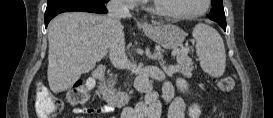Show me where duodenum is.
Masks as SVG:
<instances>
[{"label":"duodenum","mask_w":273,"mask_h":118,"mask_svg":"<svg viewBox=\"0 0 273 118\" xmlns=\"http://www.w3.org/2000/svg\"><path fill=\"white\" fill-rule=\"evenodd\" d=\"M106 68L104 65L95 67L92 77L96 83L98 94L107 102L109 107H123L131 98V95L125 91H112L105 83Z\"/></svg>","instance_id":"410a0bca"}]
</instances>
